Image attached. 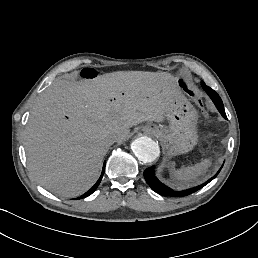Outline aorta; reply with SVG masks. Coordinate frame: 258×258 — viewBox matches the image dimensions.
Masks as SVG:
<instances>
[{
    "mask_svg": "<svg viewBox=\"0 0 258 258\" xmlns=\"http://www.w3.org/2000/svg\"><path fill=\"white\" fill-rule=\"evenodd\" d=\"M131 149L138 160L144 163L153 162L160 154L158 143L147 136L135 139L131 144Z\"/></svg>",
    "mask_w": 258,
    "mask_h": 258,
    "instance_id": "obj_1",
    "label": "aorta"
}]
</instances>
